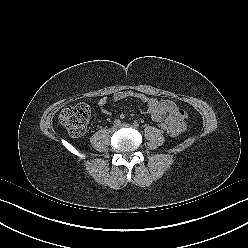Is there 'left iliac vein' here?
Wrapping results in <instances>:
<instances>
[{"instance_id":"left-iliac-vein-1","label":"left iliac vein","mask_w":248,"mask_h":248,"mask_svg":"<svg viewBox=\"0 0 248 248\" xmlns=\"http://www.w3.org/2000/svg\"><path fill=\"white\" fill-rule=\"evenodd\" d=\"M130 126H131L130 124L123 123V124H121L119 127H130Z\"/></svg>"}]
</instances>
